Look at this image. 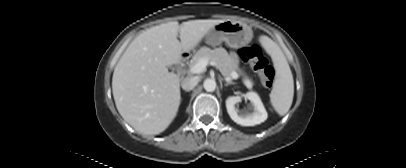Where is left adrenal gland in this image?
Returning a JSON list of instances; mask_svg holds the SVG:
<instances>
[{"label":"left adrenal gland","mask_w":406,"mask_h":168,"mask_svg":"<svg viewBox=\"0 0 406 168\" xmlns=\"http://www.w3.org/2000/svg\"><path fill=\"white\" fill-rule=\"evenodd\" d=\"M232 84H235V82H232V81H226V83L224 84L225 86H229V85H232Z\"/></svg>","instance_id":"left-adrenal-gland-1"}]
</instances>
